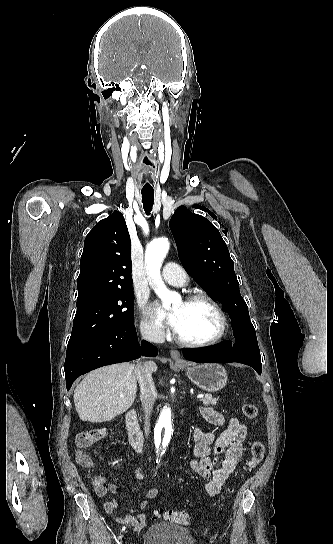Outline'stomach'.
<instances>
[{
  "label": "stomach",
  "mask_w": 333,
  "mask_h": 544,
  "mask_svg": "<svg viewBox=\"0 0 333 544\" xmlns=\"http://www.w3.org/2000/svg\"><path fill=\"white\" fill-rule=\"evenodd\" d=\"M180 367L185 370L186 375L194 384L207 392H217L227 383V372L220 364L203 363L180 365Z\"/></svg>",
  "instance_id": "1"
}]
</instances>
